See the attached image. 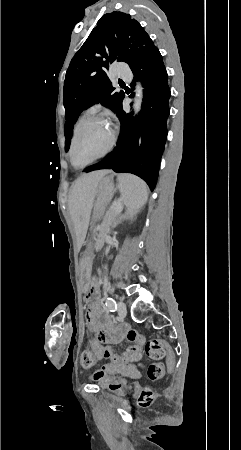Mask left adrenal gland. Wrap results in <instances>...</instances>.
Masks as SVG:
<instances>
[{"label":"left adrenal gland","mask_w":241,"mask_h":450,"mask_svg":"<svg viewBox=\"0 0 241 450\" xmlns=\"http://www.w3.org/2000/svg\"><path fill=\"white\" fill-rule=\"evenodd\" d=\"M126 216H119L118 220H116V224L114 226H117V224H120L121 220H125Z\"/></svg>","instance_id":"obj_1"}]
</instances>
